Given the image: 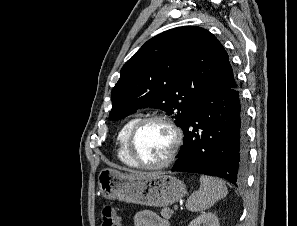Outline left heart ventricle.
I'll return each mask as SVG.
<instances>
[{
    "label": "left heart ventricle",
    "instance_id": "obj_1",
    "mask_svg": "<svg viewBox=\"0 0 297 226\" xmlns=\"http://www.w3.org/2000/svg\"><path fill=\"white\" fill-rule=\"evenodd\" d=\"M173 144L171 130L161 122H149L138 131L134 149L139 159L146 164L164 160Z\"/></svg>",
    "mask_w": 297,
    "mask_h": 226
}]
</instances>
